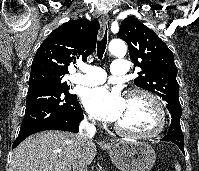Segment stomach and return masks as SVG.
Wrapping results in <instances>:
<instances>
[{
	"instance_id": "obj_1",
	"label": "stomach",
	"mask_w": 199,
	"mask_h": 171,
	"mask_svg": "<svg viewBox=\"0 0 199 171\" xmlns=\"http://www.w3.org/2000/svg\"><path fill=\"white\" fill-rule=\"evenodd\" d=\"M107 149L120 171H149L156 159L153 148L143 141L122 139Z\"/></svg>"
}]
</instances>
